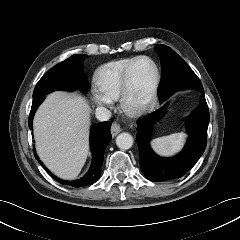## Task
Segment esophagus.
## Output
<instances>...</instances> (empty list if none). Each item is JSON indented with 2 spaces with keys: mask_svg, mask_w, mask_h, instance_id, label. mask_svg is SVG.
Instances as JSON below:
<instances>
[{
  "mask_svg": "<svg viewBox=\"0 0 240 240\" xmlns=\"http://www.w3.org/2000/svg\"><path fill=\"white\" fill-rule=\"evenodd\" d=\"M121 130L122 129H121V127L118 123H116V122L112 123L111 134H112L113 137L116 136L118 133H120Z\"/></svg>",
  "mask_w": 240,
  "mask_h": 240,
  "instance_id": "obj_1",
  "label": "esophagus"
}]
</instances>
